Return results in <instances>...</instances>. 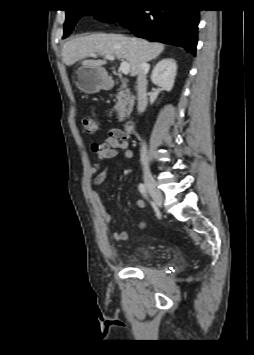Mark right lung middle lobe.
<instances>
[{"instance_id": "right-lung-middle-lobe-1", "label": "right lung middle lobe", "mask_w": 254, "mask_h": 355, "mask_svg": "<svg viewBox=\"0 0 254 355\" xmlns=\"http://www.w3.org/2000/svg\"><path fill=\"white\" fill-rule=\"evenodd\" d=\"M124 7L116 8V9H98V10H67L66 11V21L64 24V36L66 38L72 32L76 22L85 14L96 13L97 18L101 21L106 22H116L119 19L126 16L135 4L130 1H138V0H128Z\"/></svg>"}]
</instances>
